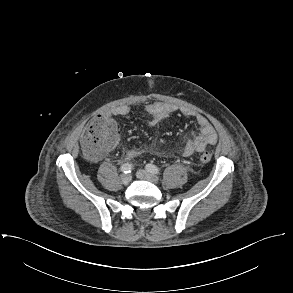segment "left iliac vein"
<instances>
[{
    "label": "left iliac vein",
    "instance_id": "obj_1",
    "mask_svg": "<svg viewBox=\"0 0 293 293\" xmlns=\"http://www.w3.org/2000/svg\"><path fill=\"white\" fill-rule=\"evenodd\" d=\"M136 175L139 179L147 180V181L155 183V184L159 182V178L156 175H154L146 170L140 169L137 171Z\"/></svg>",
    "mask_w": 293,
    "mask_h": 293
}]
</instances>
